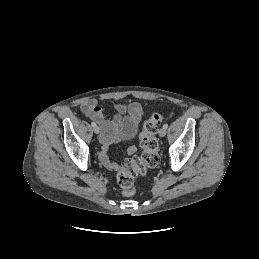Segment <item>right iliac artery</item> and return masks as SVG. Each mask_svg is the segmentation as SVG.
<instances>
[{
  "mask_svg": "<svg viewBox=\"0 0 259 259\" xmlns=\"http://www.w3.org/2000/svg\"><path fill=\"white\" fill-rule=\"evenodd\" d=\"M91 125H92L93 127H95V126H96V123H95V122H92Z\"/></svg>",
  "mask_w": 259,
  "mask_h": 259,
  "instance_id": "1",
  "label": "right iliac artery"
}]
</instances>
